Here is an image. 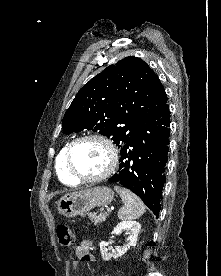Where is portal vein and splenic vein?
<instances>
[{"instance_id": "obj_1", "label": "portal vein and splenic vein", "mask_w": 221, "mask_h": 276, "mask_svg": "<svg viewBox=\"0 0 221 276\" xmlns=\"http://www.w3.org/2000/svg\"><path fill=\"white\" fill-rule=\"evenodd\" d=\"M111 211H112L111 209H109V208L107 209V212H108V213H110Z\"/></svg>"}]
</instances>
